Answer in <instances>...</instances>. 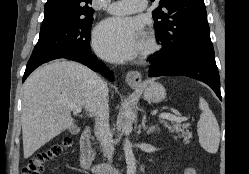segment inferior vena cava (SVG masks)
<instances>
[{
    "label": "inferior vena cava",
    "mask_w": 249,
    "mask_h": 174,
    "mask_svg": "<svg viewBox=\"0 0 249 174\" xmlns=\"http://www.w3.org/2000/svg\"><path fill=\"white\" fill-rule=\"evenodd\" d=\"M95 127L94 133L99 140L104 156L109 163H112L113 147L111 144L110 127H109V107H108V87L107 83L99 79L97 88V107L94 112ZM112 174V168L108 170Z\"/></svg>",
    "instance_id": "602c4592"
}]
</instances>
